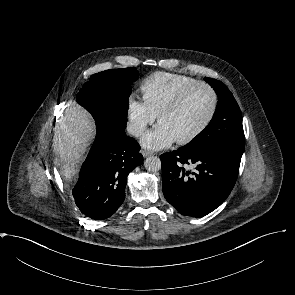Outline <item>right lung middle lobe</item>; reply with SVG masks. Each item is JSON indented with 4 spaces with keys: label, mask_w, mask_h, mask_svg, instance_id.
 I'll return each instance as SVG.
<instances>
[{
    "label": "right lung middle lobe",
    "mask_w": 295,
    "mask_h": 295,
    "mask_svg": "<svg viewBox=\"0 0 295 295\" xmlns=\"http://www.w3.org/2000/svg\"><path fill=\"white\" fill-rule=\"evenodd\" d=\"M137 78L135 67L99 72L83 85L76 100L95 121L125 129L131 93L129 83Z\"/></svg>",
    "instance_id": "dd1d6c3e"
}]
</instances>
